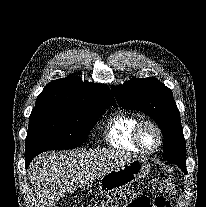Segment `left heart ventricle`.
<instances>
[{
	"instance_id": "obj_1",
	"label": "left heart ventricle",
	"mask_w": 206,
	"mask_h": 207,
	"mask_svg": "<svg viewBox=\"0 0 206 207\" xmlns=\"http://www.w3.org/2000/svg\"><path fill=\"white\" fill-rule=\"evenodd\" d=\"M141 140L146 148L153 149L158 143L157 132L151 126H144L141 130Z\"/></svg>"
}]
</instances>
